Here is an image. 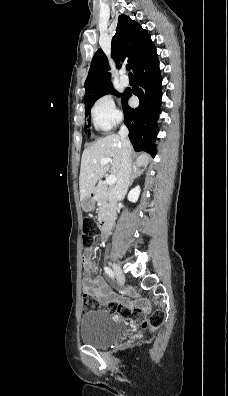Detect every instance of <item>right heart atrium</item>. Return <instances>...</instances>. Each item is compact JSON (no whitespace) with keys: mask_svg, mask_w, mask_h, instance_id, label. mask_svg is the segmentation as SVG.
<instances>
[{"mask_svg":"<svg viewBox=\"0 0 228 396\" xmlns=\"http://www.w3.org/2000/svg\"><path fill=\"white\" fill-rule=\"evenodd\" d=\"M91 118L97 129L108 131L121 121L122 114L116 107L114 97L104 94L94 102Z\"/></svg>","mask_w":228,"mask_h":396,"instance_id":"right-heart-atrium-1","label":"right heart atrium"}]
</instances>
